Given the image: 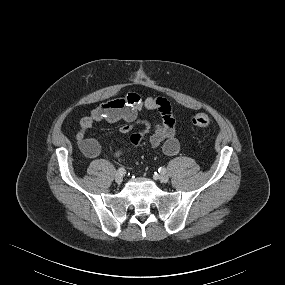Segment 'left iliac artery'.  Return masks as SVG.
<instances>
[{
  "label": "left iliac artery",
  "instance_id": "1",
  "mask_svg": "<svg viewBox=\"0 0 285 285\" xmlns=\"http://www.w3.org/2000/svg\"><path fill=\"white\" fill-rule=\"evenodd\" d=\"M158 171L160 172V173H166V168L165 167H160L159 169H158Z\"/></svg>",
  "mask_w": 285,
  "mask_h": 285
}]
</instances>
